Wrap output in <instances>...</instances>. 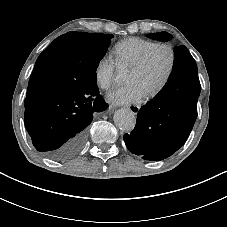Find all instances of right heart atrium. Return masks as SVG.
Segmentation results:
<instances>
[{
  "label": "right heart atrium",
  "mask_w": 227,
  "mask_h": 227,
  "mask_svg": "<svg viewBox=\"0 0 227 227\" xmlns=\"http://www.w3.org/2000/svg\"><path fill=\"white\" fill-rule=\"evenodd\" d=\"M115 64L111 57L104 56L96 64L94 79L100 90H108L114 81Z\"/></svg>",
  "instance_id": "right-heart-atrium-1"
}]
</instances>
